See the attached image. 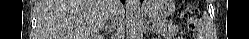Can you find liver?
Returning a JSON list of instances; mask_svg holds the SVG:
<instances>
[{
    "label": "liver",
    "mask_w": 249,
    "mask_h": 39,
    "mask_svg": "<svg viewBox=\"0 0 249 39\" xmlns=\"http://www.w3.org/2000/svg\"><path fill=\"white\" fill-rule=\"evenodd\" d=\"M117 0H39V39H96Z\"/></svg>",
    "instance_id": "liver-1"
}]
</instances>
